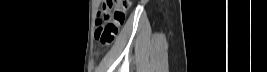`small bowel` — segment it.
I'll return each mask as SVG.
<instances>
[{"mask_svg":"<svg viewBox=\"0 0 267 72\" xmlns=\"http://www.w3.org/2000/svg\"><path fill=\"white\" fill-rule=\"evenodd\" d=\"M108 14L107 13H102V18H104V17H106ZM123 22V19H122V21H121V23ZM120 23V24H121Z\"/></svg>","mask_w":267,"mask_h":72,"instance_id":"1","label":"small bowel"}]
</instances>
